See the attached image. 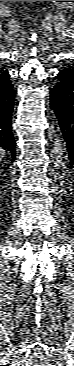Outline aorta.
<instances>
[{"instance_id":"aorta-1","label":"aorta","mask_w":74,"mask_h":366,"mask_svg":"<svg viewBox=\"0 0 74 366\" xmlns=\"http://www.w3.org/2000/svg\"><path fill=\"white\" fill-rule=\"evenodd\" d=\"M55 141H54V147H53V153L55 154V161H54V167L60 168L65 166L66 164V145L63 139L62 134L60 133V129L57 130V133L55 134Z\"/></svg>"}]
</instances>
